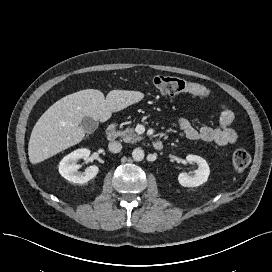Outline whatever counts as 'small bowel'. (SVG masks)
<instances>
[{
  "label": "small bowel",
  "mask_w": 272,
  "mask_h": 272,
  "mask_svg": "<svg viewBox=\"0 0 272 272\" xmlns=\"http://www.w3.org/2000/svg\"><path fill=\"white\" fill-rule=\"evenodd\" d=\"M234 119V110L222 104L216 127L204 125L200 128H196L186 118L178 119L176 124L189 140H201L215 143L219 146H225L237 140V133L231 127Z\"/></svg>",
  "instance_id": "c3829d8e"
}]
</instances>
